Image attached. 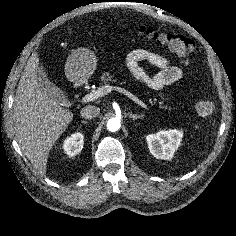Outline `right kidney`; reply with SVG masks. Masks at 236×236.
I'll return each mask as SVG.
<instances>
[{"label": "right kidney", "mask_w": 236, "mask_h": 236, "mask_svg": "<svg viewBox=\"0 0 236 236\" xmlns=\"http://www.w3.org/2000/svg\"><path fill=\"white\" fill-rule=\"evenodd\" d=\"M84 135L80 132L72 134L70 137H67L63 142V150L69 156L73 157L81 152L84 144Z\"/></svg>", "instance_id": "right-kidney-1"}]
</instances>
